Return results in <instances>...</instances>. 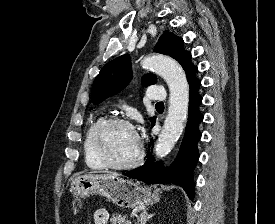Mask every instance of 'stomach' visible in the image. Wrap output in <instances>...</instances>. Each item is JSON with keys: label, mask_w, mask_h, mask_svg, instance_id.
I'll return each instance as SVG.
<instances>
[{"label": "stomach", "mask_w": 275, "mask_h": 224, "mask_svg": "<svg viewBox=\"0 0 275 224\" xmlns=\"http://www.w3.org/2000/svg\"><path fill=\"white\" fill-rule=\"evenodd\" d=\"M70 191L79 200L92 194H98L122 208H134L158 202L161 191L156 188L142 187L139 183L112 176L104 175H81L71 181Z\"/></svg>", "instance_id": "0dacf381"}]
</instances>
